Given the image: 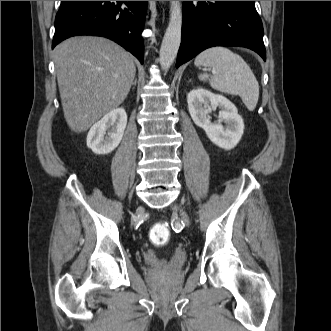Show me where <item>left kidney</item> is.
<instances>
[{
  "instance_id": "5707ae66",
  "label": "left kidney",
  "mask_w": 331,
  "mask_h": 331,
  "mask_svg": "<svg viewBox=\"0 0 331 331\" xmlns=\"http://www.w3.org/2000/svg\"><path fill=\"white\" fill-rule=\"evenodd\" d=\"M187 103L192 120L204 129L211 142L225 150H231L239 143L244 131L243 119L227 98L199 88L188 93ZM217 107L221 109L220 120L212 123L209 113Z\"/></svg>"
}]
</instances>
